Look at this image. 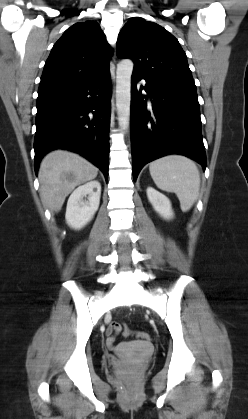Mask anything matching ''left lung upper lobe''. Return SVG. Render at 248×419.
Listing matches in <instances>:
<instances>
[{
	"instance_id": "5c2ea615",
	"label": "left lung upper lobe",
	"mask_w": 248,
	"mask_h": 419,
	"mask_svg": "<svg viewBox=\"0 0 248 419\" xmlns=\"http://www.w3.org/2000/svg\"><path fill=\"white\" fill-rule=\"evenodd\" d=\"M119 58L134 62L133 72L171 87L196 91L187 57L178 40L156 23L133 18L119 33Z\"/></svg>"
}]
</instances>
